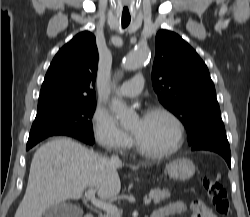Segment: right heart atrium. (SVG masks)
Listing matches in <instances>:
<instances>
[{"mask_svg":"<svg viewBox=\"0 0 250 217\" xmlns=\"http://www.w3.org/2000/svg\"><path fill=\"white\" fill-rule=\"evenodd\" d=\"M92 132L104 149L124 153L132 146V138L122 130L113 117L102 109H96L92 117Z\"/></svg>","mask_w":250,"mask_h":217,"instance_id":"1","label":"right heart atrium"}]
</instances>
